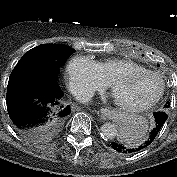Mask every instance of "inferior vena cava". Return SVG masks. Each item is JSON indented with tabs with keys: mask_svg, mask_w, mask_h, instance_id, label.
Instances as JSON below:
<instances>
[{
	"mask_svg": "<svg viewBox=\"0 0 177 177\" xmlns=\"http://www.w3.org/2000/svg\"><path fill=\"white\" fill-rule=\"evenodd\" d=\"M74 96L77 101L82 102V103H86L91 100V98L93 97V93L91 91H87V90L78 91V92L74 93Z\"/></svg>",
	"mask_w": 177,
	"mask_h": 177,
	"instance_id": "obj_1",
	"label": "inferior vena cava"
}]
</instances>
